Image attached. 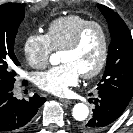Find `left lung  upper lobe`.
<instances>
[{
	"label": "left lung upper lobe",
	"mask_w": 133,
	"mask_h": 133,
	"mask_svg": "<svg viewBox=\"0 0 133 133\" xmlns=\"http://www.w3.org/2000/svg\"><path fill=\"white\" fill-rule=\"evenodd\" d=\"M97 7L107 20L111 34L106 69L98 91H107L131 100L133 96V40L122 18L110 8Z\"/></svg>",
	"instance_id": "obj_1"
}]
</instances>
